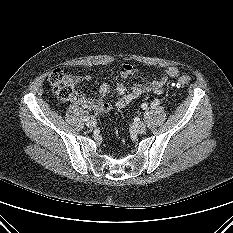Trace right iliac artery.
<instances>
[{
  "instance_id": "obj_1",
  "label": "right iliac artery",
  "mask_w": 233,
  "mask_h": 233,
  "mask_svg": "<svg viewBox=\"0 0 233 233\" xmlns=\"http://www.w3.org/2000/svg\"><path fill=\"white\" fill-rule=\"evenodd\" d=\"M89 118H90V117L86 115V116L83 117V120H84V121H88Z\"/></svg>"
}]
</instances>
